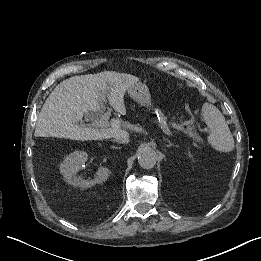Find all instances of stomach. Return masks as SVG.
<instances>
[{
  "instance_id": "obj_1",
  "label": "stomach",
  "mask_w": 261,
  "mask_h": 261,
  "mask_svg": "<svg viewBox=\"0 0 261 261\" xmlns=\"http://www.w3.org/2000/svg\"><path fill=\"white\" fill-rule=\"evenodd\" d=\"M128 94L137 103L145 107H151L153 105L148 87L142 83H134L128 88Z\"/></svg>"
}]
</instances>
